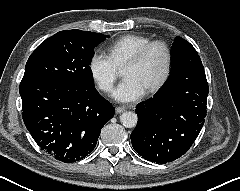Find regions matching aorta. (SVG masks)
I'll list each match as a JSON object with an SVG mask.
<instances>
[{
	"label": "aorta",
	"mask_w": 240,
	"mask_h": 191,
	"mask_svg": "<svg viewBox=\"0 0 240 191\" xmlns=\"http://www.w3.org/2000/svg\"><path fill=\"white\" fill-rule=\"evenodd\" d=\"M122 125L126 128H133L137 125L138 116L136 113L128 111L120 116Z\"/></svg>",
	"instance_id": "1"
}]
</instances>
